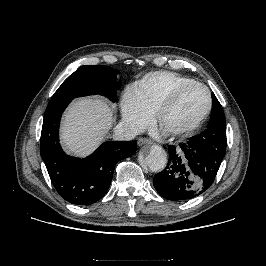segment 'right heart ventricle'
Returning <instances> with one entry per match:
<instances>
[{"instance_id": "e07e8e85", "label": "right heart ventricle", "mask_w": 266, "mask_h": 266, "mask_svg": "<svg viewBox=\"0 0 266 266\" xmlns=\"http://www.w3.org/2000/svg\"><path fill=\"white\" fill-rule=\"evenodd\" d=\"M192 81L194 80L174 72L156 71L143 76L130 87V90L139 104L149 114H153L168 92L176 86Z\"/></svg>"}]
</instances>
